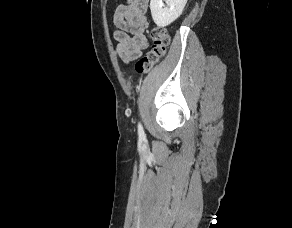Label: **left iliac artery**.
Wrapping results in <instances>:
<instances>
[{
	"label": "left iliac artery",
	"instance_id": "left-iliac-artery-1",
	"mask_svg": "<svg viewBox=\"0 0 292 228\" xmlns=\"http://www.w3.org/2000/svg\"><path fill=\"white\" fill-rule=\"evenodd\" d=\"M138 134L140 137L144 136V130H143L141 123H138Z\"/></svg>",
	"mask_w": 292,
	"mask_h": 228
}]
</instances>
